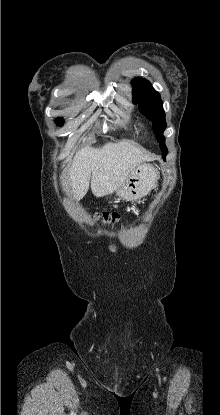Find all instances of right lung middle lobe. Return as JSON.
<instances>
[{
  "label": "right lung middle lobe",
  "mask_w": 220,
  "mask_h": 415,
  "mask_svg": "<svg viewBox=\"0 0 220 415\" xmlns=\"http://www.w3.org/2000/svg\"><path fill=\"white\" fill-rule=\"evenodd\" d=\"M56 123L62 125L63 124V121L62 120H57Z\"/></svg>",
  "instance_id": "dd1d6c3e"
}]
</instances>
